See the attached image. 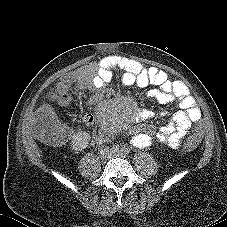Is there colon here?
Masks as SVG:
<instances>
[{"instance_id":"colon-1","label":"colon","mask_w":227,"mask_h":227,"mask_svg":"<svg viewBox=\"0 0 227 227\" xmlns=\"http://www.w3.org/2000/svg\"><path fill=\"white\" fill-rule=\"evenodd\" d=\"M64 97L60 93L51 94V98H57L59 101ZM37 133L41 143L49 146L62 144L66 139V130L64 126L58 121H44L38 123ZM200 144V141L197 137L192 136L187 139L184 143V146L187 150L192 151L197 148Z\"/></svg>"}]
</instances>
